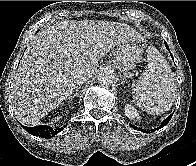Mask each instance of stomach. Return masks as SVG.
Here are the masks:
<instances>
[{"label":"stomach","mask_w":196,"mask_h":166,"mask_svg":"<svg viewBox=\"0 0 196 166\" xmlns=\"http://www.w3.org/2000/svg\"><path fill=\"white\" fill-rule=\"evenodd\" d=\"M118 67L122 72L133 71L143 58L142 49L135 42H126L116 47Z\"/></svg>","instance_id":"obj_1"}]
</instances>
